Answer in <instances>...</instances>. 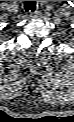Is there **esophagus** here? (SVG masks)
<instances>
[{
  "label": "esophagus",
  "mask_w": 74,
  "mask_h": 122,
  "mask_svg": "<svg viewBox=\"0 0 74 122\" xmlns=\"http://www.w3.org/2000/svg\"><path fill=\"white\" fill-rule=\"evenodd\" d=\"M28 17L29 18H38L39 17V12L38 11H35V12H30L29 14H28Z\"/></svg>",
  "instance_id": "1"
}]
</instances>
